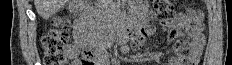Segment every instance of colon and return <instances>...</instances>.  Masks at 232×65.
Masks as SVG:
<instances>
[{
	"instance_id": "obj_1",
	"label": "colon",
	"mask_w": 232,
	"mask_h": 65,
	"mask_svg": "<svg viewBox=\"0 0 232 65\" xmlns=\"http://www.w3.org/2000/svg\"><path fill=\"white\" fill-rule=\"evenodd\" d=\"M154 8L160 23L164 27L169 25L175 19V12L172 3L169 0H155ZM189 23L193 27L201 24L202 14L197 9H191L186 14ZM68 19L56 18L54 27L43 37L42 44L44 47V64L45 65H66L67 58L64 53V46L67 42L68 35L65 31ZM176 55L184 59L191 51L190 45L183 40L177 41L174 45ZM94 55L91 51L86 50L82 53V65H94Z\"/></svg>"
}]
</instances>
